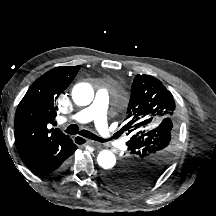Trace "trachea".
<instances>
[{
    "instance_id": "trachea-1",
    "label": "trachea",
    "mask_w": 216,
    "mask_h": 216,
    "mask_svg": "<svg viewBox=\"0 0 216 216\" xmlns=\"http://www.w3.org/2000/svg\"><path fill=\"white\" fill-rule=\"evenodd\" d=\"M66 133L74 135V134H80L83 137L89 138L91 140L99 141V142H105L102 138L98 137L97 135L87 131V130H79V127L76 124H71L67 127L65 130ZM78 144H82L83 141L76 142Z\"/></svg>"
}]
</instances>
